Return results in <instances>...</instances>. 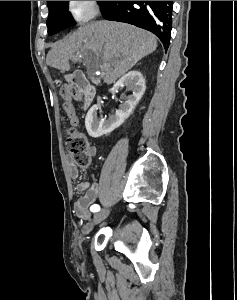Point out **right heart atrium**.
<instances>
[{
    "label": "right heart atrium",
    "mask_w": 237,
    "mask_h": 300,
    "mask_svg": "<svg viewBox=\"0 0 237 300\" xmlns=\"http://www.w3.org/2000/svg\"><path fill=\"white\" fill-rule=\"evenodd\" d=\"M67 10L77 24L92 20L99 11L97 1H67Z\"/></svg>",
    "instance_id": "right-heart-atrium-1"
}]
</instances>
